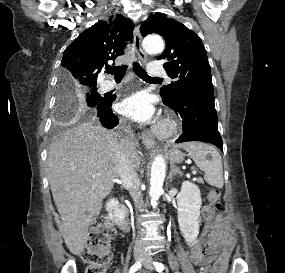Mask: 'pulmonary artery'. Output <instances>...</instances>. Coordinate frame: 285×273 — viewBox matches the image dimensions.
Here are the masks:
<instances>
[{
  "label": "pulmonary artery",
  "instance_id": "pulmonary-artery-1",
  "mask_svg": "<svg viewBox=\"0 0 285 273\" xmlns=\"http://www.w3.org/2000/svg\"><path fill=\"white\" fill-rule=\"evenodd\" d=\"M147 71L149 73L150 76L152 77H156V78H166L167 80H170V77L167 75L166 70L159 65L158 62H151L148 67H147ZM117 85L110 80H106L103 81L100 85H99V89L102 91H110L113 90Z\"/></svg>",
  "mask_w": 285,
  "mask_h": 273
}]
</instances>
